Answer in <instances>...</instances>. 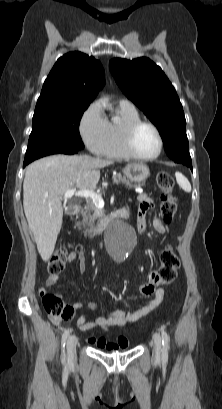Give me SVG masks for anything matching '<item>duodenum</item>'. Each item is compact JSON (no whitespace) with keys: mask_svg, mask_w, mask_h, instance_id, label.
Masks as SVG:
<instances>
[{"mask_svg":"<svg viewBox=\"0 0 222 409\" xmlns=\"http://www.w3.org/2000/svg\"><path fill=\"white\" fill-rule=\"evenodd\" d=\"M80 211H81V206H79V205H75V206L70 208V212L73 215L78 214ZM128 215H129V213L125 209H121V210H118V211L114 212L110 217L102 219L96 224L95 229H94V233L96 235L101 234L105 230L106 226L109 223H111V222H113L115 220L126 219L128 217Z\"/></svg>","mask_w":222,"mask_h":409,"instance_id":"obj_1","label":"duodenum"}]
</instances>
